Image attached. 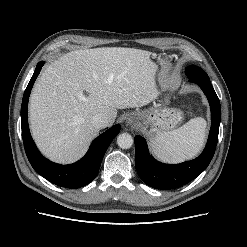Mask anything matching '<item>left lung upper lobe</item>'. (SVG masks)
Masks as SVG:
<instances>
[{
  "label": "left lung upper lobe",
  "instance_id": "left-lung-upper-lobe-1",
  "mask_svg": "<svg viewBox=\"0 0 247 247\" xmlns=\"http://www.w3.org/2000/svg\"><path fill=\"white\" fill-rule=\"evenodd\" d=\"M186 74L187 76H194V77H200L203 78L205 80H209L208 75L206 74V72L204 70H202L201 68H199L198 66L195 65H190L186 68Z\"/></svg>",
  "mask_w": 247,
  "mask_h": 247
}]
</instances>
